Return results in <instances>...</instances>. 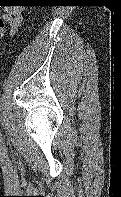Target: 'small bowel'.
<instances>
[{
	"label": "small bowel",
	"instance_id": "small-bowel-1",
	"mask_svg": "<svg viewBox=\"0 0 121 197\" xmlns=\"http://www.w3.org/2000/svg\"><path fill=\"white\" fill-rule=\"evenodd\" d=\"M22 7L19 5H8L5 7L3 17L10 26V33H14L20 27L23 16Z\"/></svg>",
	"mask_w": 121,
	"mask_h": 197
}]
</instances>
